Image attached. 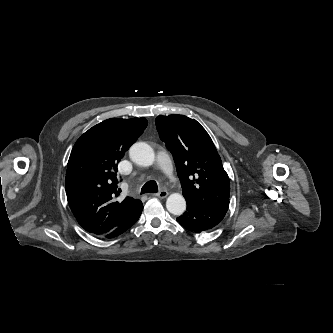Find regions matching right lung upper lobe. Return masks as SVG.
Returning a JSON list of instances; mask_svg holds the SVG:
<instances>
[{
  "mask_svg": "<svg viewBox=\"0 0 333 333\" xmlns=\"http://www.w3.org/2000/svg\"><path fill=\"white\" fill-rule=\"evenodd\" d=\"M144 117L105 120L85 132L75 143L66 172L68 204L78 223L88 232L103 237L127 222L142 202L119 195L117 163L142 135Z\"/></svg>",
  "mask_w": 333,
  "mask_h": 333,
  "instance_id": "1",
  "label": "right lung upper lobe"
}]
</instances>
